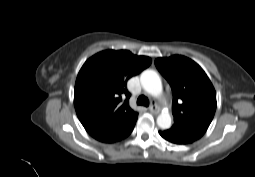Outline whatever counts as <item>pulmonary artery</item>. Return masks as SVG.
<instances>
[{
  "label": "pulmonary artery",
  "mask_w": 255,
  "mask_h": 177,
  "mask_svg": "<svg viewBox=\"0 0 255 177\" xmlns=\"http://www.w3.org/2000/svg\"><path fill=\"white\" fill-rule=\"evenodd\" d=\"M164 97L167 98V94H164Z\"/></svg>",
  "instance_id": "pulmonary-artery-1"
}]
</instances>
